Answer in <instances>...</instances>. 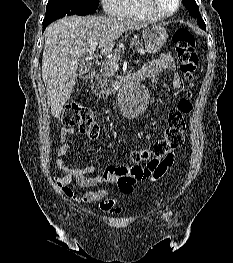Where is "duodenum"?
Wrapping results in <instances>:
<instances>
[{
  "label": "duodenum",
  "instance_id": "obj_1",
  "mask_svg": "<svg viewBox=\"0 0 233 263\" xmlns=\"http://www.w3.org/2000/svg\"><path fill=\"white\" fill-rule=\"evenodd\" d=\"M96 76V71L93 68L86 69L82 73V79L90 82ZM147 78V75L140 69L133 74L123 73L122 75H115L113 79H110V84L114 83L112 91L119 90L123 86V83H129L130 81H140ZM105 89H111V86H105Z\"/></svg>",
  "mask_w": 233,
  "mask_h": 263
}]
</instances>
